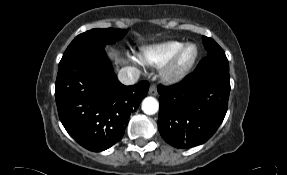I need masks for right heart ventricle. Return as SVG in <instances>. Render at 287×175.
<instances>
[{"mask_svg": "<svg viewBox=\"0 0 287 175\" xmlns=\"http://www.w3.org/2000/svg\"><path fill=\"white\" fill-rule=\"evenodd\" d=\"M182 45L181 41L170 40L146 46L142 49L139 60L144 65L160 68L170 61Z\"/></svg>", "mask_w": 287, "mask_h": 175, "instance_id": "obj_1", "label": "right heart ventricle"}]
</instances>
